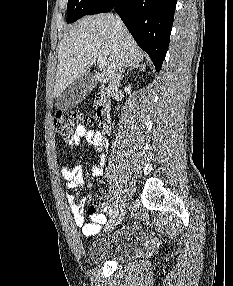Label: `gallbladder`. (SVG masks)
<instances>
[{"label":"gallbladder","instance_id":"obj_1","mask_svg":"<svg viewBox=\"0 0 233 286\" xmlns=\"http://www.w3.org/2000/svg\"><path fill=\"white\" fill-rule=\"evenodd\" d=\"M95 84L94 74L85 72L66 91L57 97L55 103L57 109L64 111L75 107L88 96Z\"/></svg>","mask_w":233,"mask_h":286}]
</instances>
